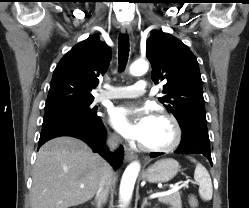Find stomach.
I'll list each match as a JSON object with an SVG mask.
<instances>
[{
	"label": "stomach",
	"mask_w": 249,
	"mask_h": 208,
	"mask_svg": "<svg viewBox=\"0 0 249 208\" xmlns=\"http://www.w3.org/2000/svg\"><path fill=\"white\" fill-rule=\"evenodd\" d=\"M179 168V163L175 159H161L146 169L143 179L149 183H165L177 175Z\"/></svg>",
	"instance_id": "1"
}]
</instances>
